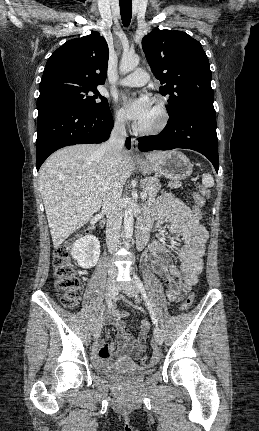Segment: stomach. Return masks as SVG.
I'll use <instances>...</instances> for the list:
<instances>
[{
	"mask_svg": "<svg viewBox=\"0 0 259 431\" xmlns=\"http://www.w3.org/2000/svg\"><path fill=\"white\" fill-rule=\"evenodd\" d=\"M139 169L146 175L164 176L170 180H184L192 173L190 160L180 151H168L156 161H140Z\"/></svg>",
	"mask_w": 259,
	"mask_h": 431,
	"instance_id": "1",
	"label": "stomach"
}]
</instances>
